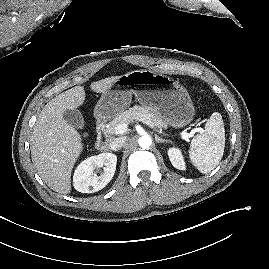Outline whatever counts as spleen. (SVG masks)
I'll use <instances>...</instances> for the list:
<instances>
[{"mask_svg": "<svg viewBox=\"0 0 269 269\" xmlns=\"http://www.w3.org/2000/svg\"><path fill=\"white\" fill-rule=\"evenodd\" d=\"M225 148V128L222 116L214 112L202 134L191 141L189 158L191 163L203 174L218 166Z\"/></svg>", "mask_w": 269, "mask_h": 269, "instance_id": "1", "label": "spleen"}]
</instances>
